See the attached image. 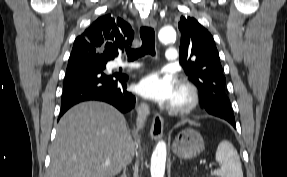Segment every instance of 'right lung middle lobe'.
Wrapping results in <instances>:
<instances>
[{
    "instance_id": "1",
    "label": "right lung middle lobe",
    "mask_w": 287,
    "mask_h": 177,
    "mask_svg": "<svg viewBox=\"0 0 287 177\" xmlns=\"http://www.w3.org/2000/svg\"><path fill=\"white\" fill-rule=\"evenodd\" d=\"M109 60L98 57V56H87L80 59L68 61L67 70L75 69L84 65H96L103 68L106 67V63Z\"/></svg>"
}]
</instances>
